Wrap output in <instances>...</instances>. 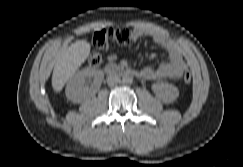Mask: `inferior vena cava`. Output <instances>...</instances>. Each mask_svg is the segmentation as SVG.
<instances>
[{"label":"inferior vena cava","instance_id":"602c4592","mask_svg":"<svg viewBox=\"0 0 243 167\" xmlns=\"http://www.w3.org/2000/svg\"><path fill=\"white\" fill-rule=\"evenodd\" d=\"M121 82L120 77L118 76H109L107 79V83L109 86H115Z\"/></svg>","mask_w":243,"mask_h":167}]
</instances>
